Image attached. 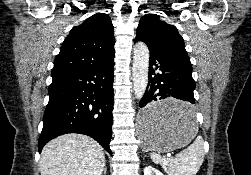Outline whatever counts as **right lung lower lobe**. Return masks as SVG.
<instances>
[{
	"label": "right lung lower lobe",
	"instance_id": "right-lung-lower-lobe-1",
	"mask_svg": "<svg viewBox=\"0 0 251 175\" xmlns=\"http://www.w3.org/2000/svg\"><path fill=\"white\" fill-rule=\"evenodd\" d=\"M114 61L105 66L52 77L49 102L38 142L41 152L51 139L66 133L94 138L109 153L113 124Z\"/></svg>",
	"mask_w": 251,
	"mask_h": 175
}]
</instances>
